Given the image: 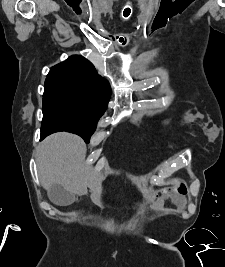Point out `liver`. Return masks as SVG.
I'll use <instances>...</instances> for the list:
<instances>
[{
  "label": "liver",
  "instance_id": "1",
  "mask_svg": "<svg viewBox=\"0 0 225 267\" xmlns=\"http://www.w3.org/2000/svg\"><path fill=\"white\" fill-rule=\"evenodd\" d=\"M86 145L77 135L59 132L48 136L38 146L36 164L44 189L60 184L72 194L86 195L101 205V184L91 166L84 163Z\"/></svg>",
  "mask_w": 225,
  "mask_h": 267
}]
</instances>
